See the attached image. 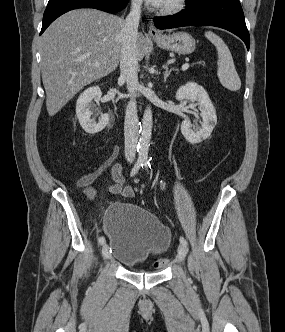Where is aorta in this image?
I'll return each mask as SVG.
<instances>
[{
  "label": "aorta",
  "instance_id": "aorta-1",
  "mask_svg": "<svg viewBox=\"0 0 285 332\" xmlns=\"http://www.w3.org/2000/svg\"><path fill=\"white\" fill-rule=\"evenodd\" d=\"M152 135V111L150 107H147L143 119H142V126H141V136L139 139V158L140 159H147L148 158V151L150 146V140Z\"/></svg>",
  "mask_w": 285,
  "mask_h": 332
}]
</instances>
